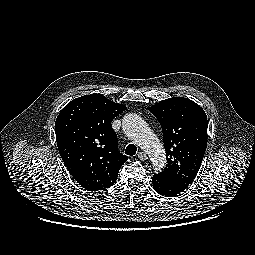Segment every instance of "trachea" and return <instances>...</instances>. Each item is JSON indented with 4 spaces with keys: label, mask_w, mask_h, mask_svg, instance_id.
I'll return each mask as SVG.
<instances>
[{
    "label": "trachea",
    "mask_w": 255,
    "mask_h": 255,
    "mask_svg": "<svg viewBox=\"0 0 255 255\" xmlns=\"http://www.w3.org/2000/svg\"><path fill=\"white\" fill-rule=\"evenodd\" d=\"M137 148L134 144H129L125 149V154L133 156L136 154Z\"/></svg>",
    "instance_id": "trachea-1"
}]
</instances>
